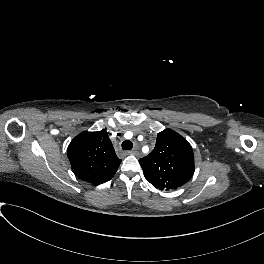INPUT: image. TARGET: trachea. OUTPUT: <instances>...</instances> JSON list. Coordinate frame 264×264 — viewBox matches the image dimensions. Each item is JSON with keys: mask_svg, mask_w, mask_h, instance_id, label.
<instances>
[{"mask_svg": "<svg viewBox=\"0 0 264 264\" xmlns=\"http://www.w3.org/2000/svg\"><path fill=\"white\" fill-rule=\"evenodd\" d=\"M133 148V143L129 140H125L123 143H122V149L124 150H131Z\"/></svg>", "mask_w": 264, "mask_h": 264, "instance_id": "3493384b", "label": "trachea"}]
</instances>
